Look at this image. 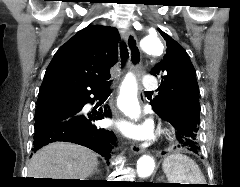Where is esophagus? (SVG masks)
I'll return each instance as SVG.
<instances>
[{"instance_id": "esophagus-1", "label": "esophagus", "mask_w": 240, "mask_h": 187, "mask_svg": "<svg viewBox=\"0 0 240 187\" xmlns=\"http://www.w3.org/2000/svg\"><path fill=\"white\" fill-rule=\"evenodd\" d=\"M125 40L129 50L128 66L133 72L138 73L141 65V52L135 33L129 28L125 32ZM145 150L146 145H140L136 143L131 145V151L135 154L143 153Z\"/></svg>"}]
</instances>
